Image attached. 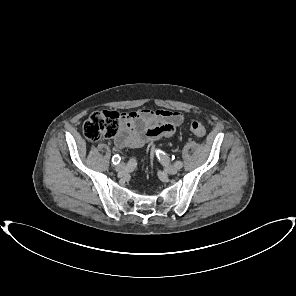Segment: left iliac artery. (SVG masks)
Returning <instances> with one entry per match:
<instances>
[{
  "label": "left iliac artery",
  "mask_w": 296,
  "mask_h": 296,
  "mask_svg": "<svg viewBox=\"0 0 296 296\" xmlns=\"http://www.w3.org/2000/svg\"><path fill=\"white\" fill-rule=\"evenodd\" d=\"M156 155L159 159H163L165 154L162 151L157 150ZM175 166H177L180 169V168H182L183 163L181 161H176Z\"/></svg>",
  "instance_id": "44dca946"
}]
</instances>
